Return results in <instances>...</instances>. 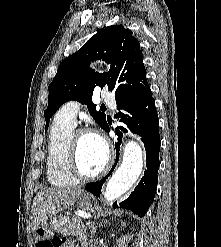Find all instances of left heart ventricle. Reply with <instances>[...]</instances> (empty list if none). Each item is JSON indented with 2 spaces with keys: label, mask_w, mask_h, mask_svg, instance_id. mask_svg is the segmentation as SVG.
I'll return each mask as SVG.
<instances>
[{
  "label": "left heart ventricle",
  "mask_w": 221,
  "mask_h": 247,
  "mask_svg": "<svg viewBox=\"0 0 221 247\" xmlns=\"http://www.w3.org/2000/svg\"><path fill=\"white\" fill-rule=\"evenodd\" d=\"M79 165L85 174H95L106 162V149L102 141L94 135L80 137L78 144Z\"/></svg>",
  "instance_id": "b2bd125f"
}]
</instances>
